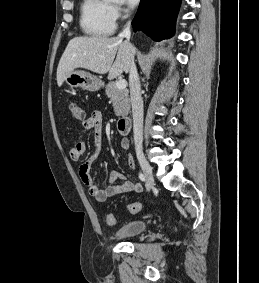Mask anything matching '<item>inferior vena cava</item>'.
Returning <instances> with one entry per match:
<instances>
[{"label":"inferior vena cava","mask_w":259,"mask_h":283,"mask_svg":"<svg viewBox=\"0 0 259 283\" xmlns=\"http://www.w3.org/2000/svg\"><path fill=\"white\" fill-rule=\"evenodd\" d=\"M130 36V23H128L124 30L119 34V38H125V42L130 44ZM129 86L133 115L134 143L136 148H141L143 142V101L141 98L140 80L134 63V57H132L129 69Z\"/></svg>","instance_id":"obj_1"}]
</instances>
